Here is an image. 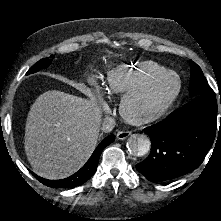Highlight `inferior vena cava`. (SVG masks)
<instances>
[{"label": "inferior vena cava", "instance_id": "obj_1", "mask_svg": "<svg viewBox=\"0 0 221 221\" xmlns=\"http://www.w3.org/2000/svg\"><path fill=\"white\" fill-rule=\"evenodd\" d=\"M115 127V120L111 117H105L103 119L102 131L103 132H111Z\"/></svg>", "mask_w": 221, "mask_h": 221}]
</instances>
